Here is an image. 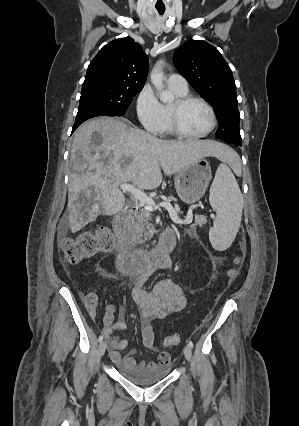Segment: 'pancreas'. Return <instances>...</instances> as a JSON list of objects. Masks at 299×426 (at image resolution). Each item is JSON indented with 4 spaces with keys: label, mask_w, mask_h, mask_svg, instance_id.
<instances>
[{
    "label": "pancreas",
    "mask_w": 299,
    "mask_h": 426,
    "mask_svg": "<svg viewBox=\"0 0 299 426\" xmlns=\"http://www.w3.org/2000/svg\"><path fill=\"white\" fill-rule=\"evenodd\" d=\"M170 200H174V198L169 197L168 201ZM151 219V211L145 208L136 211L132 217L131 227L136 235L137 242L140 244L147 241L152 236V234L148 232V230L152 228V224L150 223ZM206 223L207 219L205 216L196 215L195 223L190 225V229H188L187 232L189 234H195L196 227H202Z\"/></svg>",
    "instance_id": "cf45deb5"
}]
</instances>
